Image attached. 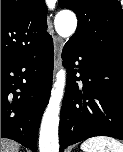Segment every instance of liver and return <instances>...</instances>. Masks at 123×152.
<instances>
[{"instance_id":"obj_1","label":"liver","mask_w":123,"mask_h":152,"mask_svg":"<svg viewBox=\"0 0 123 152\" xmlns=\"http://www.w3.org/2000/svg\"><path fill=\"white\" fill-rule=\"evenodd\" d=\"M1 152H19V144L15 141L1 138Z\"/></svg>"}]
</instances>
